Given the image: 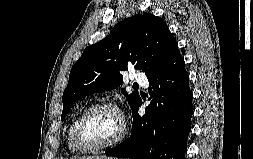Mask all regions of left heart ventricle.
<instances>
[{"label":"left heart ventricle","instance_id":"b2bd125f","mask_svg":"<svg viewBox=\"0 0 253 159\" xmlns=\"http://www.w3.org/2000/svg\"><path fill=\"white\" fill-rule=\"evenodd\" d=\"M121 127L118 115L111 109L91 113L81 129V140L87 146H97L112 140Z\"/></svg>","mask_w":253,"mask_h":159}]
</instances>
